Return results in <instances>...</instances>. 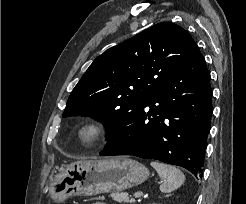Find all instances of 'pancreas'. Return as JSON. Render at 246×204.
<instances>
[{
  "mask_svg": "<svg viewBox=\"0 0 246 204\" xmlns=\"http://www.w3.org/2000/svg\"><path fill=\"white\" fill-rule=\"evenodd\" d=\"M110 197L119 203H133V200L128 197L127 193H119V192H113L110 194Z\"/></svg>",
  "mask_w": 246,
  "mask_h": 204,
  "instance_id": "cf45deb5",
  "label": "pancreas"
}]
</instances>
